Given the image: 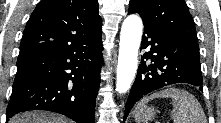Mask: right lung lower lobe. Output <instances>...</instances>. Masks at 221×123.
I'll return each instance as SVG.
<instances>
[{
  "label": "right lung lower lobe",
  "instance_id": "obj_1",
  "mask_svg": "<svg viewBox=\"0 0 221 123\" xmlns=\"http://www.w3.org/2000/svg\"><path fill=\"white\" fill-rule=\"evenodd\" d=\"M101 35L63 49L20 55L7 120L20 111L48 110L94 123L103 66Z\"/></svg>",
  "mask_w": 221,
  "mask_h": 123
}]
</instances>
